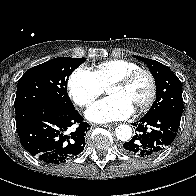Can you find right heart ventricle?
<instances>
[{"instance_id":"obj_1","label":"right heart ventricle","mask_w":196,"mask_h":196,"mask_svg":"<svg viewBox=\"0 0 196 196\" xmlns=\"http://www.w3.org/2000/svg\"><path fill=\"white\" fill-rule=\"evenodd\" d=\"M138 69H141L140 66L132 61L111 59L98 64L94 73L100 84L106 88L114 80Z\"/></svg>"}]
</instances>
